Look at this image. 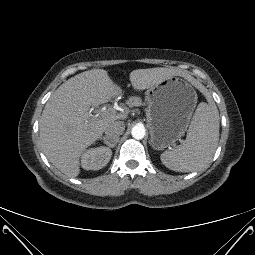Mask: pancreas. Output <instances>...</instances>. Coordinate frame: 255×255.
<instances>
[{
  "label": "pancreas",
  "instance_id": "1",
  "mask_svg": "<svg viewBox=\"0 0 255 255\" xmlns=\"http://www.w3.org/2000/svg\"><path fill=\"white\" fill-rule=\"evenodd\" d=\"M128 104L130 106H140L142 105V100L140 97L138 96H132L129 100H128Z\"/></svg>",
  "mask_w": 255,
  "mask_h": 255
}]
</instances>
